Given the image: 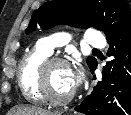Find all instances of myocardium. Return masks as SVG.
<instances>
[{
  "label": "myocardium",
  "instance_id": "obj_1",
  "mask_svg": "<svg viewBox=\"0 0 131 115\" xmlns=\"http://www.w3.org/2000/svg\"><path fill=\"white\" fill-rule=\"evenodd\" d=\"M54 65H63L68 68L70 67L69 62L64 58L57 56L48 57L41 63L38 68L36 86L38 92L45 102L54 106H61L68 104L74 98L75 91H72L69 95L62 98L54 97L50 94L47 85V73L49 69Z\"/></svg>",
  "mask_w": 131,
  "mask_h": 115
}]
</instances>
